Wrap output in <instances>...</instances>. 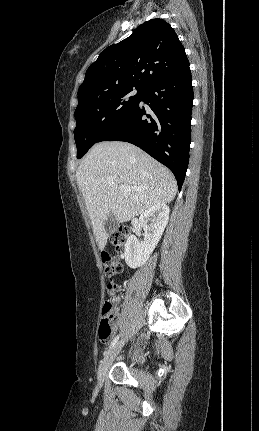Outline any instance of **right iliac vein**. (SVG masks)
Returning <instances> with one entry per match:
<instances>
[{"label":"right iliac vein","mask_w":259,"mask_h":431,"mask_svg":"<svg viewBox=\"0 0 259 431\" xmlns=\"http://www.w3.org/2000/svg\"><path fill=\"white\" fill-rule=\"evenodd\" d=\"M122 346H123V342L121 341L107 353V355L105 356V358L101 362L99 369H98V382L100 384L103 383L109 367L113 363L115 357L119 354Z\"/></svg>","instance_id":"1"}]
</instances>
